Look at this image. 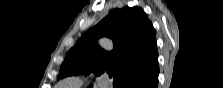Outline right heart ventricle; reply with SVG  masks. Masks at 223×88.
Instances as JSON below:
<instances>
[{
  "instance_id": "1",
  "label": "right heart ventricle",
  "mask_w": 223,
  "mask_h": 88,
  "mask_svg": "<svg viewBox=\"0 0 223 88\" xmlns=\"http://www.w3.org/2000/svg\"><path fill=\"white\" fill-rule=\"evenodd\" d=\"M55 88H63L62 86H60V85H58V86H56Z\"/></svg>"
}]
</instances>
